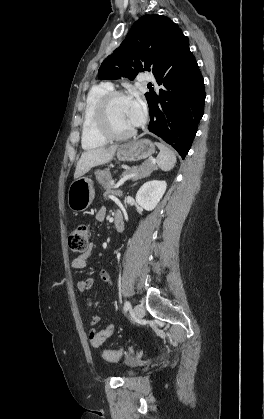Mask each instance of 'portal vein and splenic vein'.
Listing matches in <instances>:
<instances>
[{
  "label": "portal vein and splenic vein",
  "mask_w": 264,
  "mask_h": 419,
  "mask_svg": "<svg viewBox=\"0 0 264 419\" xmlns=\"http://www.w3.org/2000/svg\"><path fill=\"white\" fill-rule=\"evenodd\" d=\"M154 163H155V161H153ZM137 175V173L136 172H133V173H130V174H126V175H124L123 176V178H121L120 179V181L116 184V185H114V188H119L121 185H123L128 179H130V178H132V177H134V176H136Z\"/></svg>",
  "instance_id": "1"
}]
</instances>
